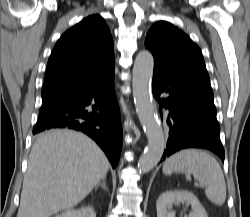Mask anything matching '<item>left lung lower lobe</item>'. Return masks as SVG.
I'll return each mask as SVG.
<instances>
[{
	"mask_svg": "<svg viewBox=\"0 0 250 217\" xmlns=\"http://www.w3.org/2000/svg\"><path fill=\"white\" fill-rule=\"evenodd\" d=\"M152 90L167 123V147L161 161L186 148L211 150L224 161L209 77L170 72L154 65Z\"/></svg>",
	"mask_w": 250,
	"mask_h": 217,
	"instance_id": "1",
	"label": "left lung lower lobe"
}]
</instances>
